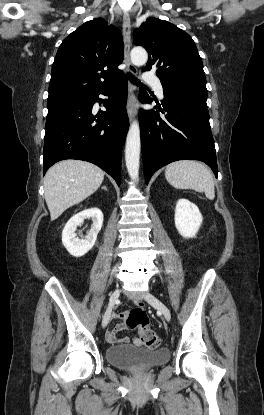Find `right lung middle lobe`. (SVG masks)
<instances>
[{"label":"right lung middle lobe","instance_id":"dd1d6c3e","mask_svg":"<svg viewBox=\"0 0 264 415\" xmlns=\"http://www.w3.org/2000/svg\"><path fill=\"white\" fill-rule=\"evenodd\" d=\"M77 98H78V97H77ZM67 99H71V98H67ZM62 100H64V99H62ZM54 101H59V100H54ZM54 101H48V103H49V102H54Z\"/></svg>","mask_w":264,"mask_h":415}]
</instances>
